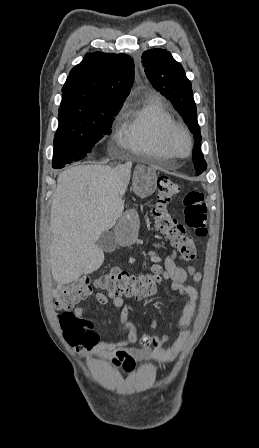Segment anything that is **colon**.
<instances>
[{
    "mask_svg": "<svg viewBox=\"0 0 259 448\" xmlns=\"http://www.w3.org/2000/svg\"><path fill=\"white\" fill-rule=\"evenodd\" d=\"M181 191L178 182L168 176L157 181L156 205L153 209L155 229L169 239L175 248L174 255L180 260L190 261L196 256V248L186 228L197 237L207 234L208 212L204 194L190 191L184 196L185 225L180 224L168 212V203ZM149 272L138 276L120 270L108 271L93 279L84 276L54 290L55 307L62 311L59 321L66 340L73 346L81 344L88 336L91 322L76 315L71 309L86 299L94 288H102L117 296H126L141 300L153 296L160 283V266L154 258ZM143 347L153 344V337L145 335L140 339Z\"/></svg>",
    "mask_w": 259,
    "mask_h": 448,
    "instance_id": "1",
    "label": "colon"
}]
</instances>
